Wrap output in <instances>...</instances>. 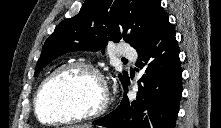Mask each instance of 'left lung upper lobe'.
Listing matches in <instances>:
<instances>
[{"instance_id":"obj_1","label":"left lung upper lobe","mask_w":221,"mask_h":128,"mask_svg":"<svg viewBox=\"0 0 221 128\" xmlns=\"http://www.w3.org/2000/svg\"><path fill=\"white\" fill-rule=\"evenodd\" d=\"M166 15L160 0H86L76 16L60 22L48 37L34 76L67 52H103L108 42L120 40L136 49ZM119 77L123 85L129 80L127 72Z\"/></svg>"}]
</instances>
